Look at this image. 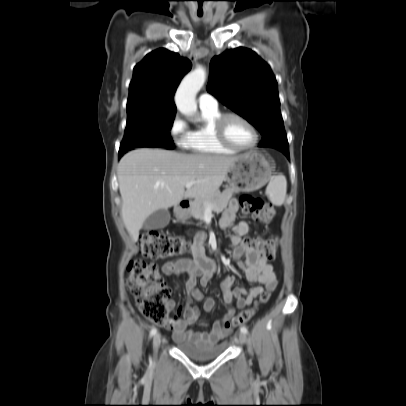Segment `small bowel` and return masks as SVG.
I'll return each instance as SVG.
<instances>
[{
    "mask_svg": "<svg viewBox=\"0 0 406 406\" xmlns=\"http://www.w3.org/2000/svg\"><path fill=\"white\" fill-rule=\"evenodd\" d=\"M237 212V201L231 200L219 221L220 228H230L232 230L229 239L234 246L233 257L237 261V266L245 274L249 282L259 283L268 290H274L277 286V280L273 266L257 250L244 244L242 238L248 234L249 224L246 221L234 224ZM204 240L205 233L200 232L193 244V259L178 258L165 263L162 267L163 273L167 276L186 275L184 288L188 294L187 302L185 306L176 309L174 316L164 326L165 329L173 332V338L176 342H186L194 345L217 343L230 333V330L226 329L224 324L235 312L233 302L235 301L237 308H243L250 305L263 292L262 286L249 289L242 285L233 287L234 277L228 274L220 285L222 299L226 305V312L223 317L211 324L206 332L188 330L190 325L197 322L200 314L199 309L191 304L192 300H203V310L207 313L212 312L215 306L212 298H205L195 287L198 278L200 284L206 286L216 270L214 261L204 252ZM168 305L171 309L175 306L172 300L168 301Z\"/></svg>",
    "mask_w": 406,
    "mask_h": 406,
    "instance_id": "obj_1",
    "label": "small bowel"
}]
</instances>
